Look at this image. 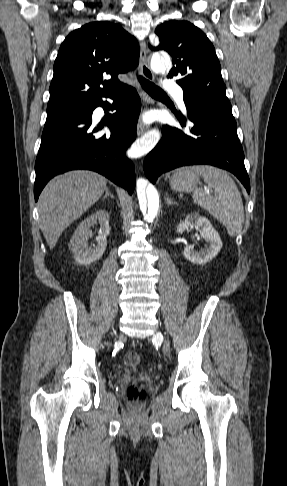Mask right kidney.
<instances>
[{"label": "right kidney", "mask_w": 287, "mask_h": 486, "mask_svg": "<svg viewBox=\"0 0 287 486\" xmlns=\"http://www.w3.org/2000/svg\"><path fill=\"white\" fill-rule=\"evenodd\" d=\"M97 223L100 224L98 236L96 237L97 245L93 246V248L88 247L87 241L91 233L90 227ZM109 233V214L106 210H97L85 218L70 240V249L75 261L80 265H89L100 259L106 249Z\"/></svg>", "instance_id": "1"}]
</instances>
